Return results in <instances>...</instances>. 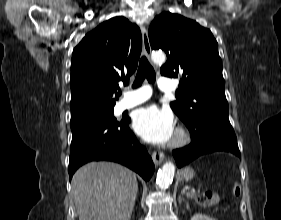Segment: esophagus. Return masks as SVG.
<instances>
[{
  "label": "esophagus",
  "instance_id": "1",
  "mask_svg": "<svg viewBox=\"0 0 281 220\" xmlns=\"http://www.w3.org/2000/svg\"><path fill=\"white\" fill-rule=\"evenodd\" d=\"M142 39H143V52L147 58L151 55V45L149 41L148 31L145 26L141 27ZM152 159L155 165H159L165 161V155L161 151H154L152 153Z\"/></svg>",
  "mask_w": 281,
  "mask_h": 220
}]
</instances>
